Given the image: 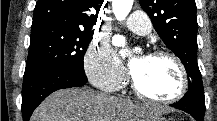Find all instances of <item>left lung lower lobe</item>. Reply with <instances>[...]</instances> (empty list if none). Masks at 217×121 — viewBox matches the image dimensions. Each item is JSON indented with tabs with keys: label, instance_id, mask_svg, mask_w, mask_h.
<instances>
[{
	"label": "left lung lower lobe",
	"instance_id": "obj_1",
	"mask_svg": "<svg viewBox=\"0 0 217 121\" xmlns=\"http://www.w3.org/2000/svg\"><path fill=\"white\" fill-rule=\"evenodd\" d=\"M171 106L189 113L196 121L204 119L205 106L199 102L198 94L192 89H189L180 101Z\"/></svg>",
	"mask_w": 217,
	"mask_h": 121
}]
</instances>
